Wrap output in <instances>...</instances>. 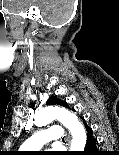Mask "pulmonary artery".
<instances>
[{"mask_svg":"<svg viewBox=\"0 0 119 155\" xmlns=\"http://www.w3.org/2000/svg\"><path fill=\"white\" fill-rule=\"evenodd\" d=\"M63 137V129L59 126H51L43 129L30 138H28L23 144L22 149L27 151H37L45 144L51 141H58Z\"/></svg>","mask_w":119,"mask_h":155,"instance_id":"pulmonary-artery-1","label":"pulmonary artery"}]
</instances>
